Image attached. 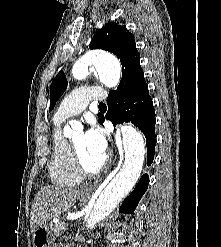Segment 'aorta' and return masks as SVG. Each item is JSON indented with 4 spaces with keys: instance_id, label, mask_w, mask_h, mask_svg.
I'll list each match as a JSON object with an SVG mask.
<instances>
[{
    "instance_id": "obj_1",
    "label": "aorta",
    "mask_w": 221,
    "mask_h": 247,
    "mask_svg": "<svg viewBox=\"0 0 221 247\" xmlns=\"http://www.w3.org/2000/svg\"><path fill=\"white\" fill-rule=\"evenodd\" d=\"M88 67L95 68L107 86L113 87L118 84L121 67L114 56L102 51L90 52L74 64L73 76L75 78L83 77ZM70 126L64 128L66 135L71 133V128L79 129L81 127L76 121H71ZM121 133L124 162L97 198L88 220V228L90 229L94 228L99 221L103 220L118 206L120 201L132 190L142 171L145 156V144L142 135L130 125L122 126Z\"/></svg>"
}]
</instances>
